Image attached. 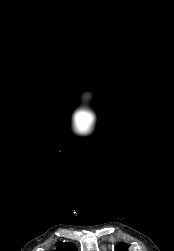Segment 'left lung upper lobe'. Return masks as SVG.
<instances>
[{
    "mask_svg": "<svg viewBox=\"0 0 174 251\" xmlns=\"http://www.w3.org/2000/svg\"><path fill=\"white\" fill-rule=\"evenodd\" d=\"M116 251H128V245L125 243H120L116 246Z\"/></svg>",
    "mask_w": 174,
    "mask_h": 251,
    "instance_id": "left-lung-upper-lobe-1",
    "label": "left lung upper lobe"
}]
</instances>
